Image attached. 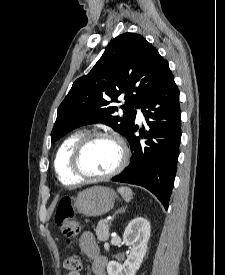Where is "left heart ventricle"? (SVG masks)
Wrapping results in <instances>:
<instances>
[{
  "instance_id": "b2bd125f",
  "label": "left heart ventricle",
  "mask_w": 225,
  "mask_h": 275,
  "mask_svg": "<svg viewBox=\"0 0 225 275\" xmlns=\"http://www.w3.org/2000/svg\"><path fill=\"white\" fill-rule=\"evenodd\" d=\"M120 159V149L116 142L105 138L91 141L81 155L82 169L91 175H103L112 171Z\"/></svg>"
}]
</instances>
